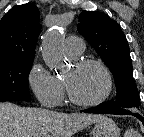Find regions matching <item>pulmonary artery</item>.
I'll use <instances>...</instances> for the list:
<instances>
[{
    "instance_id": "obj_1",
    "label": "pulmonary artery",
    "mask_w": 144,
    "mask_h": 137,
    "mask_svg": "<svg viewBox=\"0 0 144 137\" xmlns=\"http://www.w3.org/2000/svg\"><path fill=\"white\" fill-rule=\"evenodd\" d=\"M84 49V42L76 36H69L65 40L66 53L71 57H77Z\"/></svg>"
}]
</instances>
